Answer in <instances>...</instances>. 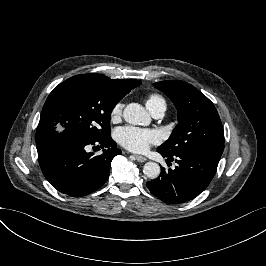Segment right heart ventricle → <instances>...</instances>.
Segmentation results:
<instances>
[{"instance_id": "e07e8e85", "label": "right heart ventricle", "mask_w": 266, "mask_h": 266, "mask_svg": "<svg viewBox=\"0 0 266 266\" xmlns=\"http://www.w3.org/2000/svg\"><path fill=\"white\" fill-rule=\"evenodd\" d=\"M145 102L148 109L154 113L160 109L167 108V102L165 98L158 93H151L145 97Z\"/></svg>"}]
</instances>
